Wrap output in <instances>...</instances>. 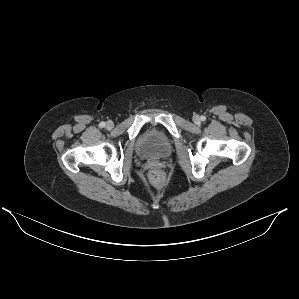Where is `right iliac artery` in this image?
<instances>
[{
	"label": "right iliac artery",
	"mask_w": 299,
	"mask_h": 299,
	"mask_svg": "<svg viewBox=\"0 0 299 299\" xmlns=\"http://www.w3.org/2000/svg\"><path fill=\"white\" fill-rule=\"evenodd\" d=\"M99 126H100L101 128H103V127L105 126V122H101V123L99 124Z\"/></svg>",
	"instance_id": "82829eb1"
}]
</instances>
